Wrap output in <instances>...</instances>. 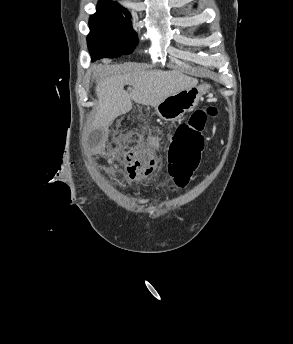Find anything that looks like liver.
Segmentation results:
<instances>
[{
	"instance_id": "6515ba94",
	"label": "liver",
	"mask_w": 293,
	"mask_h": 344,
	"mask_svg": "<svg viewBox=\"0 0 293 344\" xmlns=\"http://www.w3.org/2000/svg\"><path fill=\"white\" fill-rule=\"evenodd\" d=\"M126 84L133 87L130 93L124 90ZM197 84L196 78L176 70L139 71L107 77L96 87L98 106L95 127L107 129L118 116L132 109V101L155 107L168 96Z\"/></svg>"
}]
</instances>
